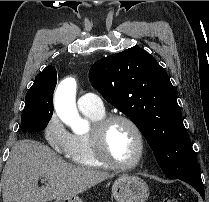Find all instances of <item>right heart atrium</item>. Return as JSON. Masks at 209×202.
I'll use <instances>...</instances> for the list:
<instances>
[{
	"instance_id": "1",
	"label": "right heart atrium",
	"mask_w": 209,
	"mask_h": 202,
	"mask_svg": "<svg viewBox=\"0 0 209 202\" xmlns=\"http://www.w3.org/2000/svg\"><path fill=\"white\" fill-rule=\"evenodd\" d=\"M43 136L46 142L58 153L66 154L72 135L65 128L59 117L53 113L49 116L43 128Z\"/></svg>"
}]
</instances>
